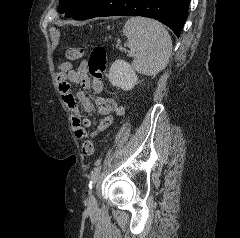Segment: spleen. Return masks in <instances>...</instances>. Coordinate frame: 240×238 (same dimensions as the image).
<instances>
[{"instance_id": "obj_1", "label": "spleen", "mask_w": 240, "mask_h": 238, "mask_svg": "<svg viewBox=\"0 0 240 238\" xmlns=\"http://www.w3.org/2000/svg\"><path fill=\"white\" fill-rule=\"evenodd\" d=\"M128 46L135 53L133 68L147 76H155L168 64L172 41L168 31L158 21L132 17L123 28Z\"/></svg>"}]
</instances>
